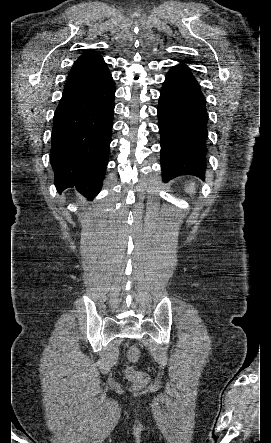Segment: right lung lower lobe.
Instances as JSON below:
<instances>
[{"mask_svg": "<svg viewBox=\"0 0 271 443\" xmlns=\"http://www.w3.org/2000/svg\"><path fill=\"white\" fill-rule=\"evenodd\" d=\"M114 98L112 78L64 89L54 114L50 153L58 191L76 187L88 199L99 193L108 163Z\"/></svg>", "mask_w": 271, "mask_h": 443, "instance_id": "obj_1", "label": "right lung lower lobe"}]
</instances>
